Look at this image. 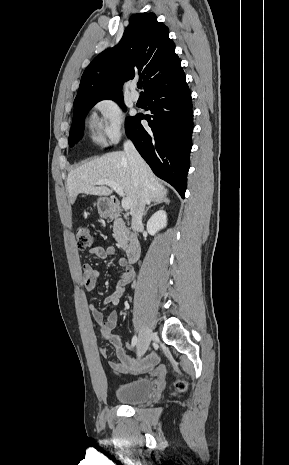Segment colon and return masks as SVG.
Wrapping results in <instances>:
<instances>
[{"instance_id":"5ec220e1","label":"colon","mask_w":289,"mask_h":465,"mask_svg":"<svg viewBox=\"0 0 289 465\" xmlns=\"http://www.w3.org/2000/svg\"><path fill=\"white\" fill-rule=\"evenodd\" d=\"M76 240L77 246L80 250L93 249L94 247V237L91 230L86 226L79 227L76 230ZM180 389H185V385L181 384Z\"/></svg>"}]
</instances>
